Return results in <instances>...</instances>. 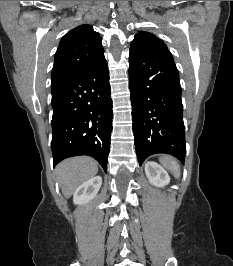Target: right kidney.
<instances>
[{"label":"right kidney","instance_id":"1","mask_svg":"<svg viewBox=\"0 0 233 266\" xmlns=\"http://www.w3.org/2000/svg\"><path fill=\"white\" fill-rule=\"evenodd\" d=\"M102 185V178L100 176L93 177L80 185L74 192V204L82 205L92 200L98 193Z\"/></svg>","mask_w":233,"mask_h":266}]
</instances>
